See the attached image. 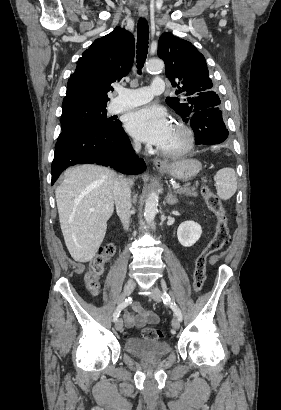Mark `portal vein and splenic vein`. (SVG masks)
I'll return each instance as SVG.
<instances>
[{
    "label": "portal vein and splenic vein",
    "instance_id": "obj_1",
    "mask_svg": "<svg viewBox=\"0 0 281 410\" xmlns=\"http://www.w3.org/2000/svg\"><path fill=\"white\" fill-rule=\"evenodd\" d=\"M180 187V184H178V183H174V184H172V188L175 190V189H178ZM90 211H95V209H90Z\"/></svg>",
    "mask_w": 281,
    "mask_h": 410
}]
</instances>
